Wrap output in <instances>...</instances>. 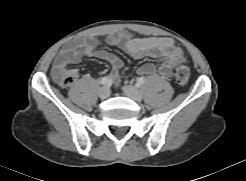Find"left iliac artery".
I'll use <instances>...</instances> for the list:
<instances>
[{
  "label": "left iliac artery",
  "mask_w": 246,
  "mask_h": 181,
  "mask_svg": "<svg viewBox=\"0 0 246 181\" xmlns=\"http://www.w3.org/2000/svg\"><path fill=\"white\" fill-rule=\"evenodd\" d=\"M144 82H145V79H144L143 77H139V78L137 79V84H138V85H142V84H144Z\"/></svg>",
  "instance_id": "obj_1"
}]
</instances>
